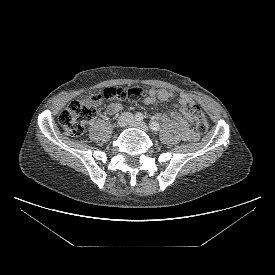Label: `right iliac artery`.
<instances>
[{"instance_id": "82829eb1", "label": "right iliac artery", "mask_w": 275, "mask_h": 275, "mask_svg": "<svg viewBox=\"0 0 275 275\" xmlns=\"http://www.w3.org/2000/svg\"><path fill=\"white\" fill-rule=\"evenodd\" d=\"M135 119L137 120V121H142L143 120V114L142 113H136L135 114Z\"/></svg>"}]
</instances>
